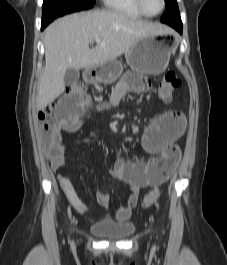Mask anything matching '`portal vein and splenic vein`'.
<instances>
[{"instance_id":"portal-vein-and-splenic-vein-1","label":"portal vein and splenic vein","mask_w":227,"mask_h":265,"mask_svg":"<svg viewBox=\"0 0 227 265\" xmlns=\"http://www.w3.org/2000/svg\"><path fill=\"white\" fill-rule=\"evenodd\" d=\"M94 42H96L98 44L101 43V41L99 39H95V40L92 41V43H94ZM102 45H103V43H102Z\"/></svg>"}]
</instances>
